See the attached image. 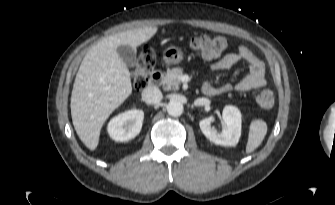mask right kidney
<instances>
[{
    "label": "right kidney",
    "instance_id": "right-kidney-1",
    "mask_svg": "<svg viewBox=\"0 0 335 205\" xmlns=\"http://www.w3.org/2000/svg\"><path fill=\"white\" fill-rule=\"evenodd\" d=\"M144 112L133 109L125 111L110 120L107 131L109 136L119 142L128 141L136 137L142 128Z\"/></svg>",
    "mask_w": 335,
    "mask_h": 205
}]
</instances>
